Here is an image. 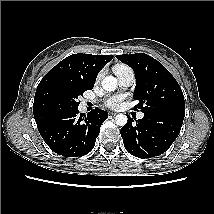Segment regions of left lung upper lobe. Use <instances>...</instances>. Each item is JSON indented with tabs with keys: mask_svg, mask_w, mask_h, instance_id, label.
I'll list each match as a JSON object with an SVG mask.
<instances>
[{
	"mask_svg": "<svg viewBox=\"0 0 214 214\" xmlns=\"http://www.w3.org/2000/svg\"><path fill=\"white\" fill-rule=\"evenodd\" d=\"M116 58L129 65L135 73L134 100L139 102L135 110L185 116L182 90L160 62L145 53L117 55Z\"/></svg>",
	"mask_w": 214,
	"mask_h": 214,
	"instance_id": "5c2ea615",
	"label": "left lung upper lobe"
}]
</instances>
